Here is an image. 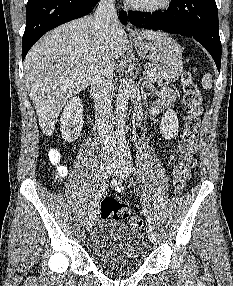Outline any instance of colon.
Wrapping results in <instances>:
<instances>
[{
    "label": "colon",
    "instance_id": "1",
    "mask_svg": "<svg viewBox=\"0 0 233 286\" xmlns=\"http://www.w3.org/2000/svg\"><path fill=\"white\" fill-rule=\"evenodd\" d=\"M182 83L186 116L183 134L179 142L180 155L173 171V186L176 192H181L185 188L196 163L195 152L202 113V97L189 73L183 75ZM50 159L54 164H58L60 162L59 152L52 150ZM58 174L60 177L64 176L60 171H58ZM101 216L105 219L127 220L134 229H142L144 227V222L140 217L132 216L126 205L113 198H106L102 201Z\"/></svg>",
    "mask_w": 233,
    "mask_h": 286
}]
</instances>
